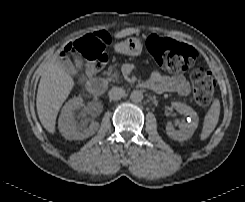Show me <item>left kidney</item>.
<instances>
[{"label":"left kidney","instance_id":"left-kidney-1","mask_svg":"<svg viewBox=\"0 0 245 202\" xmlns=\"http://www.w3.org/2000/svg\"><path fill=\"white\" fill-rule=\"evenodd\" d=\"M172 107L179 113L187 116L188 121L180 124V130L176 131L173 125L168 122L166 125V133L173 140L184 141L192 137L194 131L198 127L197 113L186 104L180 102H173Z\"/></svg>","mask_w":245,"mask_h":202}]
</instances>
